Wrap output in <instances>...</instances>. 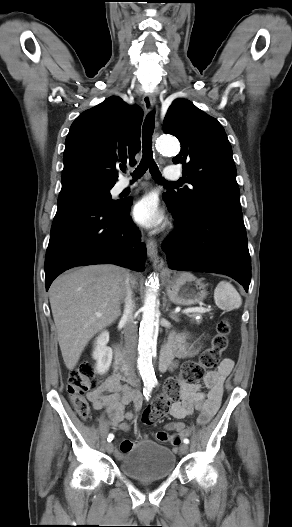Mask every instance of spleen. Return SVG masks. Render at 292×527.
<instances>
[{
	"mask_svg": "<svg viewBox=\"0 0 292 527\" xmlns=\"http://www.w3.org/2000/svg\"><path fill=\"white\" fill-rule=\"evenodd\" d=\"M214 300L218 307L224 310L238 309L242 305V299L234 286L221 281L214 291Z\"/></svg>",
	"mask_w": 292,
	"mask_h": 527,
	"instance_id": "1",
	"label": "spleen"
}]
</instances>
